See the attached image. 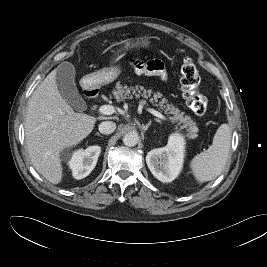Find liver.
Here are the masks:
<instances>
[{"instance_id": "liver-1", "label": "liver", "mask_w": 267, "mask_h": 267, "mask_svg": "<svg viewBox=\"0 0 267 267\" xmlns=\"http://www.w3.org/2000/svg\"><path fill=\"white\" fill-rule=\"evenodd\" d=\"M97 118L75 113L56 84V69L37 87L28 103L25 139L34 168L52 184L63 177L60 153L85 139Z\"/></svg>"}]
</instances>
